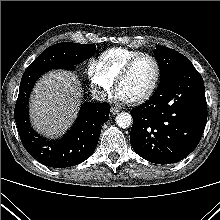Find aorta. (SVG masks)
<instances>
[{"label": "aorta", "mask_w": 220, "mask_h": 220, "mask_svg": "<svg viewBox=\"0 0 220 220\" xmlns=\"http://www.w3.org/2000/svg\"><path fill=\"white\" fill-rule=\"evenodd\" d=\"M116 124L120 128H128L132 124V116L130 113L121 112L116 116Z\"/></svg>", "instance_id": "762f6f07"}]
</instances>
